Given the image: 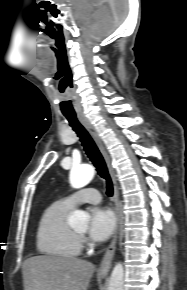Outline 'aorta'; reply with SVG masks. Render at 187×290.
I'll use <instances>...</instances> for the list:
<instances>
[{
	"mask_svg": "<svg viewBox=\"0 0 187 290\" xmlns=\"http://www.w3.org/2000/svg\"><path fill=\"white\" fill-rule=\"evenodd\" d=\"M95 170L91 165L74 166L70 172V184L73 188L79 189L86 186L94 177ZM89 215L81 210H75L70 218L69 225L73 228H87ZM124 268L117 263L112 270L107 290H123Z\"/></svg>",
	"mask_w": 187,
	"mask_h": 290,
	"instance_id": "aorta-1",
	"label": "aorta"
}]
</instances>
